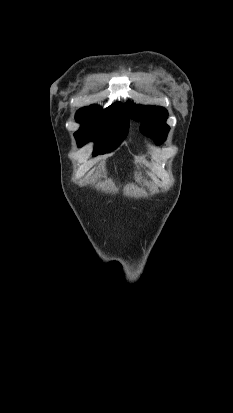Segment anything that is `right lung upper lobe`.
Listing matches in <instances>:
<instances>
[{
  "mask_svg": "<svg viewBox=\"0 0 233 413\" xmlns=\"http://www.w3.org/2000/svg\"><path fill=\"white\" fill-rule=\"evenodd\" d=\"M115 104H121V103H120V102H117V103H115ZM123 106H125V108L127 109L126 105H123Z\"/></svg>",
  "mask_w": 233,
  "mask_h": 413,
  "instance_id": "right-lung-upper-lobe-1",
  "label": "right lung upper lobe"
}]
</instances>
